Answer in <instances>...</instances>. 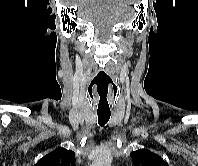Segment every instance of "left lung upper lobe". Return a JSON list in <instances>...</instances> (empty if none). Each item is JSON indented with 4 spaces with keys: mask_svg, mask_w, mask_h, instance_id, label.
<instances>
[{
    "mask_svg": "<svg viewBox=\"0 0 198 166\" xmlns=\"http://www.w3.org/2000/svg\"><path fill=\"white\" fill-rule=\"evenodd\" d=\"M134 166H168L158 155L146 149H139L131 153Z\"/></svg>",
    "mask_w": 198,
    "mask_h": 166,
    "instance_id": "left-lung-upper-lobe-1",
    "label": "left lung upper lobe"
}]
</instances>
